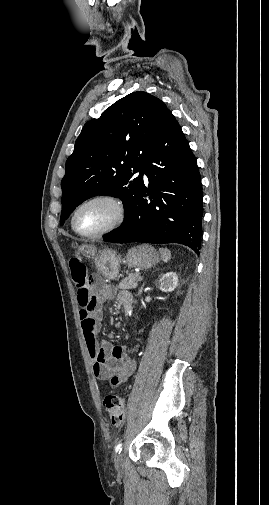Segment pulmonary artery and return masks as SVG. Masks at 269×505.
I'll list each match as a JSON object with an SVG mask.
<instances>
[{"label":"pulmonary artery","mask_w":269,"mask_h":505,"mask_svg":"<svg viewBox=\"0 0 269 505\" xmlns=\"http://www.w3.org/2000/svg\"><path fill=\"white\" fill-rule=\"evenodd\" d=\"M139 173L143 174L144 180H146V181L148 180V177L144 171H140Z\"/></svg>","instance_id":"pulmonary-artery-1"}]
</instances>
